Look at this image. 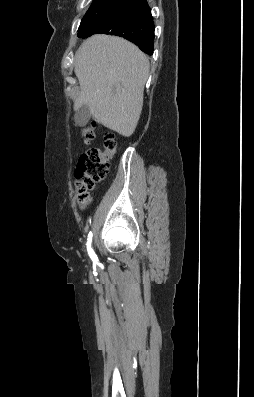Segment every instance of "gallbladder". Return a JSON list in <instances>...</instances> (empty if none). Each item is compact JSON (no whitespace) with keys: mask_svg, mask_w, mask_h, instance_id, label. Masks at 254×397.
Returning a JSON list of instances; mask_svg holds the SVG:
<instances>
[{"mask_svg":"<svg viewBox=\"0 0 254 397\" xmlns=\"http://www.w3.org/2000/svg\"><path fill=\"white\" fill-rule=\"evenodd\" d=\"M90 118V110L87 105H82L80 108H78L75 112V123L76 125L83 127L85 126Z\"/></svg>","mask_w":254,"mask_h":397,"instance_id":"1","label":"gallbladder"}]
</instances>
